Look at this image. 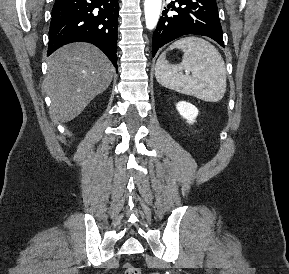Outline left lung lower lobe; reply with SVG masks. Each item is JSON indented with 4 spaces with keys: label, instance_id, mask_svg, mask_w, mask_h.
Returning <instances> with one entry per match:
<instances>
[{
    "label": "left lung lower lobe",
    "instance_id": "0a47b994",
    "mask_svg": "<svg viewBox=\"0 0 289 274\" xmlns=\"http://www.w3.org/2000/svg\"><path fill=\"white\" fill-rule=\"evenodd\" d=\"M188 34L210 37L224 47L216 0L171 1L153 33V57L166 43Z\"/></svg>",
    "mask_w": 289,
    "mask_h": 274
}]
</instances>
